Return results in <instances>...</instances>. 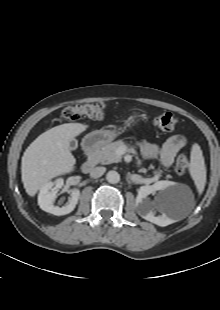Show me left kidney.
Returning <instances> with one entry per match:
<instances>
[{"mask_svg": "<svg viewBox=\"0 0 220 310\" xmlns=\"http://www.w3.org/2000/svg\"><path fill=\"white\" fill-rule=\"evenodd\" d=\"M177 185L172 181H158L153 185L141 186L138 190V195L136 197V204L138 207V212L142 218L150 221L158 226H167L171 223V219L167 217L164 213L161 216L156 217L153 212V208L162 209L166 205L167 199L165 195L175 191ZM163 191V195L158 196L155 202H150L147 200V196L156 191Z\"/></svg>", "mask_w": 220, "mask_h": 310, "instance_id": "obj_1", "label": "left kidney"}]
</instances>
